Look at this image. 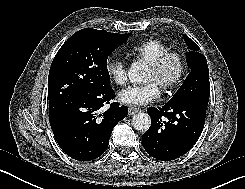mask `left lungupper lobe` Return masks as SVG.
<instances>
[{"mask_svg": "<svg viewBox=\"0 0 245 189\" xmlns=\"http://www.w3.org/2000/svg\"><path fill=\"white\" fill-rule=\"evenodd\" d=\"M184 40L190 49L186 53V59L191 71L169 102L197 100L208 104L210 83L206 58L199 52L200 48L187 35H184Z\"/></svg>", "mask_w": 245, "mask_h": 189, "instance_id": "obj_1", "label": "left lung upper lobe"}]
</instances>
